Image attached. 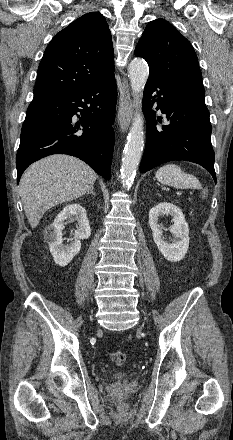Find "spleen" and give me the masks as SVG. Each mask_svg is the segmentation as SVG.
<instances>
[{
	"label": "spleen",
	"instance_id": "1",
	"mask_svg": "<svg viewBox=\"0 0 233 440\" xmlns=\"http://www.w3.org/2000/svg\"><path fill=\"white\" fill-rule=\"evenodd\" d=\"M156 179L165 185L180 189H201V183L192 174H187L176 164H166L156 172Z\"/></svg>",
	"mask_w": 233,
	"mask_h": 440
}]
</instances>
